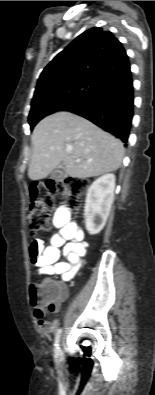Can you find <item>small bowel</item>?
<instances>
[{
  "label": "small bowel",
  "instance_id": "obj_1",
  "mask_svg": "<svg viewBox=\"0 0 155 395\" xmlns=\"http://www.w3.org/2000/svg\"><path fill=\"white\" fill-rule=\"evenodd\" d=\"M53 224L58 229L46 247V237H33L29 241L27 260H31L32 270H40L42 274L60 275L63 281L70 280L82 264L86 253L87 243L83 231L71 221L68 210L59 207L53 218ZM63 258V259H62ZM66 296L62 288V296ZM59 303L52 312H58ZM34 318L42 332L49 334L55 331L58 320L48 321L44 308L34 311Z\"/></svg>",
  "mask_w": 155,
  "mask_h": 395
}]
</instances>
